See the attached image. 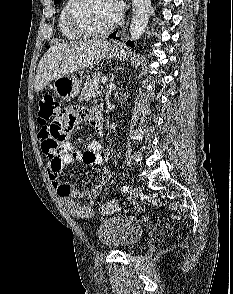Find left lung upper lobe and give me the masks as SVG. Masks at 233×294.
<instances>
[{
    "instance_id": "left-lung-upper-lobe-1",
    "label": "left lung upper lobe",
    "mask_w": 233,
    "mask_h": 294,
    "mask_svg": "<svg viewBox=\"0 0 233 294\" xmlns=\"http://www.w3.org/2000/svg\"><path fill=\"white\" fill-rule=\"evenodd\" d=\"M60 0H54V4H57Z\"/></svg>"
}]
</instances>
